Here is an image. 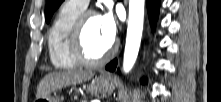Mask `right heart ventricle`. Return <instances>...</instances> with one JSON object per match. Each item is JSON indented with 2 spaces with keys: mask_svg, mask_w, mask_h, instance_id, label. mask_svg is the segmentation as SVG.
I'll return each mask as SVG.
<instances>
[{
  "mask_svg": "<svg viewBox=\"0 0 221 102\" xmlns=\"http://www.w3.org/2000/svg\"><path fill=\"white\" fill-rule=\"evenodd\" d=\"M84 8L72 1L65 2L58 10L47 33V46L52 64L58 69H73L79 63L70 51V35Z\"/></svg>",
  "mask_w": 221,
  "mask_h": 102,
  "instance_id": "1",
  "label": "right heart ventricle"
}]
</instances>
